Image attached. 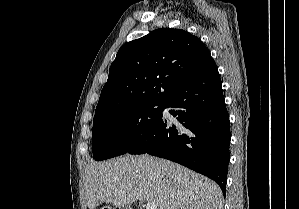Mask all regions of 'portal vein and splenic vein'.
<instances>
[{"label":"portal vein and splenic vein","instance_id":"1","mask_svg":"<svg viewBox=\"0 0 299 209\" xmlns=\"http://www.w3.org/2000/svg\"><path fill=\"white\" fill-rule=\"evenodd\" d=\"M146 209H157V206L154 202H148L146 204Z\"/></svg>","mask_w":299,"mask_h":209}]
</instances>
